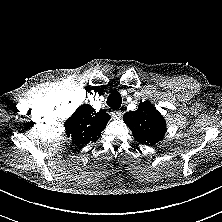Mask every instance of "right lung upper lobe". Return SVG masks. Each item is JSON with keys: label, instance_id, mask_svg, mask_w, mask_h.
I'll list each match as a JSON object with an SVG mask.
<instances>
[{"label": "right lung upper lobe", "instance_id": "1", "mask_svg": "<svg viewBox=\"0 0 222 222\" xmlns=\"http://www.w3.org/2000/svg\"><path fill=\"white\" fill-rule=\"evenodd\" d=\"M110 118L104 110L96 112L90 105L84 104L66 120V135L75 146H84L99 139Z\"/></svg>", "mask_w": 222, "mask_h": 222}]
</instances>
